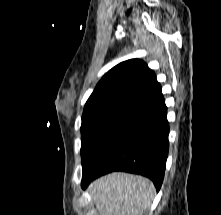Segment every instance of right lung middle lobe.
<instances>
[{"label": "right lung middle lobe", "instance_id": "dd1d6c3e", "mask_svg": "<svg viewBox=\"0 0 221 215\" xmlns=\"http://www.w3.org/2000/svg\"><path fill=\"white\" fill-rule=\"evenodd\" d=\"M135 109L113 102L85 105L81 125L82 171L89 167L106 140Z\"/></svg>", "mask_w": 221, "mask_h": 215}]
</instances>
